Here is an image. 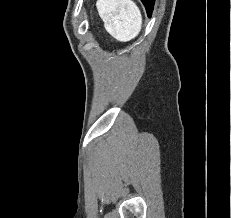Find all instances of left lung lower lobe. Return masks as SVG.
I'll return each instance as SVG.
<instances>
[{"instance_id": "obj_1", "label": "left lung lower lobe", "mask_w": 231, "mask_h": 218, "mask_svg": "<svg viewBox=\"0 0 231 218\" xmlns=\"http://www.w3.org/2000/svg\"><path fill=\"white\" fill-rule=\"evenodd\" d=\"M141 1L145 5L148 16L150 17L151 14H152V10H153L155 0H141Z\"/></svg>"}]
</instances>
